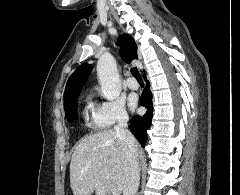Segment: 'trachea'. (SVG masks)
<instances>
[{"instance_id": "trachea-1", "label": "trachea", "mask_w": 240, "mask_h": 195, "mask_svg": "<svg viewBox=\"0 0 240 195\" xmlns=\"http://www.w3.org/2000/svg\"><path fill=\"white\" fill-rule=\"evenodd\" d=\"M131 73L132 75L136 78L137 82L141 83V84H144V81L138 71V68L134 67V68H131Z\"/></svg>"}]
</instances>
